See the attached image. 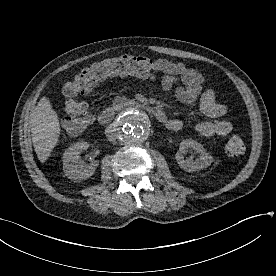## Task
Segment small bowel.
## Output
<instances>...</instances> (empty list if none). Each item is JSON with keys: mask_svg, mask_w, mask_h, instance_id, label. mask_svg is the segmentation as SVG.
Returning a JSON list of instances; mask_svg holds the SVG:
<instances>
[{"mask_svg": "<svg viewBox=\"0 0 276 276\" xmlns=\"http://www.w3.org/2000/svg\"><path fill=\"white\" fill-rule=\"evenodd\" d=\"M158 72L163 74L161 85L164 91H173L175 98L181 103L199 110L210 120L199 122L195 129L203 137L226 136L232 130V124L224 119L229 109L226 105L217 102L214 89H204L205 79L196 70L183 63L172 62L166 59L154 61ZM166 127L178 131L182 127L179 119H168Z\"/></svg>", "mask_w": 276, "mask_h": 276, "instance_id": "1", "label": "small bowel"}]
</instances>
